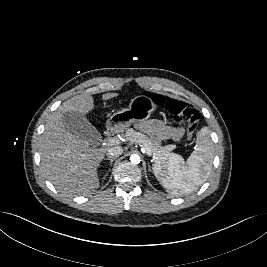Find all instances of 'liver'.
<instances>
[{
	"label": "liver",
	"mask_w": 267,
	"mask_h": 267,
	"mask_svg": "<svg viewBox=\"0 0 267 267\" xmlns=\"http://www.w3.org/2000/svg\"><path fill=\"white\" fill-rule=\"evenodd\" d=\"M117 93L102 95L104 101ZM94 108L91 95H79L63 102L48 119L40 139L42 170L46 178L67 195H88L99 187L98 168L107 150L90 147V143L70 133L63 125V115L77 111L86 115Z\"/></svg>",
	"instance_id": "6515ba94"
}]
</instances>
